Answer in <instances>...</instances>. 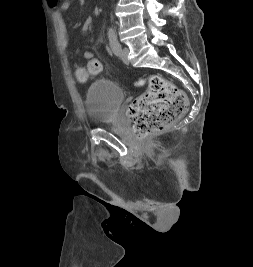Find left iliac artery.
<instances>
[{
  "mask_svg": "<svg viewBox=\"0 0 253 267\" xmlns=\"http://www.w3.org/2000/svg\"><path fill=\"white\" fill-rule=\"evenodd\" d=\"M108 37L111 49L115 55H119L121 50V45L116 37V34L112 28L108 30Z\"/></svg>",
  "mask_w": 253,
  "mask_h": 267,
  "instance_id": "44dca946",
  "label": "left iliac artery"
}]
</instances>
